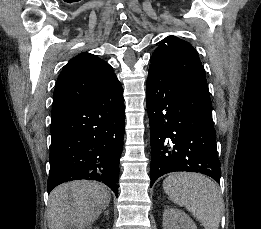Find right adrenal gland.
I'll return each instance as SVG.
<instances>
[{"mask_svg": "<svg viewBox=\"0 0 261 229\" xmlns=\"http://www.w3.org/2000/svg\"><path fill=\"white\" fill-rule=\"evenodd\" d=\"M105 215H109V211H105Z\"/></svg>", "mask_w": 261, "mask_h": 229, "instance_id": "2a0ac1e0", "label": "right adrenal gland"}]
</instances>
